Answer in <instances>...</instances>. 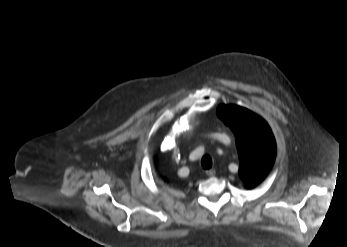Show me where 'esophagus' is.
Returning a JSON list of instances; mask_svg holds the SVG:
<instances>
[{
  "label": "esophagus",
  "mask_w": 347,
  "mask_h": 247,
  "mask_svg": "<svg viewBox=\"0 0 347 247\" xmlns=\"http://www.w3.org/2000/svg\"><path fill=\"white\" fill-rule=\"evenodd\" d=\"M216 174L215 169H210L206 171L207 176H214Z\"/></svg>",
  "instance_id": "obj_1"
}]
</instances>
